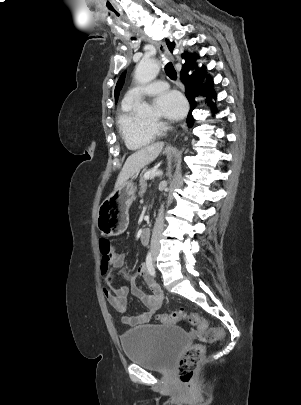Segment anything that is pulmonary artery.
Segmentation results:
<instances>
[{
	"instance_id": "1",
	"label": "pulmonary artery",
	"mask_w": 301,
	"mask_h": 405,
	"mask_svg": "<svg viewBox=\"0 0 301 405\" xmlns=\"http://www.w3.org/2000/svg\"><path fill=\"white\" fill-rule=\"evenodd\" d=\"M168 83L162 80H156L149 84L136 86L130 89L125 97V102H136L145 95H154L164 92L168 89Z\"/></svg>"
}]
</instances>
